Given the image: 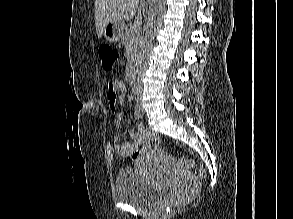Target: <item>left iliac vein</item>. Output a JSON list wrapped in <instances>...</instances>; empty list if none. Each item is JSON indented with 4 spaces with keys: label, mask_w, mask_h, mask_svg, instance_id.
Returning <instances> with one entry per match:
<instances>
[{
    "label": "left iliac vein",
    "mask_w": 293,
    "mask_h": 219,
    "mask_svg": "<svg viewBox=\"0 0 293 219\" xmlns=\"http://www.w3.org/2000/svg\"><path fill=\"white\" fill-rule=\"evenodd\" d=\"M140 107H141V109H142V106H141V104H140ZM142 111H143V109H142Z\"/></svg>",
    "instance_id": "4c4485c4"
}]
</instances>
